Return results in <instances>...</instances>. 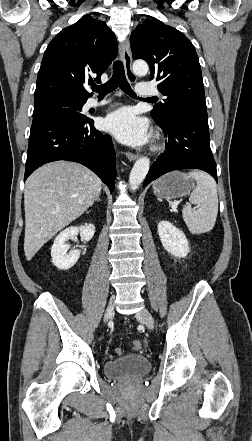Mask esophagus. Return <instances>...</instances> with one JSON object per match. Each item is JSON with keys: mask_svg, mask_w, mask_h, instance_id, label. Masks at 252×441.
<instances>
[{"mask_svg": "<svg viewBox=\"0 0 252 441\" xmlns=\"http://www.w3.org/2000/svg\"><path fill=\"white\" fill-rule=\"evenodd\" d=\"M120 52L126 76L131 83H135L137 81V77L132 71V56L128 40H124L120 43ZM126 156L129 161H134L139 157L138 154L132 152H128Z\"/></svg>", "mask_w": 252, "mask_h": 441, "instance_id": "esophagus-1", "label": "esophagus"}]
</instances>
